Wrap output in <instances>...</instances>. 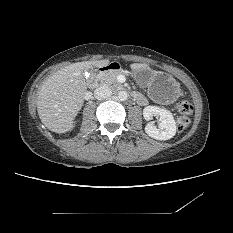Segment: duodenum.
Masks as SVG:
<instances>
[{
	"instance_id": "410a0bca",
	"label": "duodenum",
	"mask_w": 233,
	"mask_h": 233,
	"mask_svg": "<svg viewBox=\"0 0 233 233\" xmlns=\"http://www.w3.org/2000/svg\"><path fill=\"white\" fill-rule=\"evenodd\" d=\"M119 70H120V65L119 64H117V63H105V64H103L100 67H97L95 69L94 76L89 79L88 85L91 88H96L100 75L106 74V73H108L110 71L118 72ZM133 97L135 99H137L138 98L137 93H134Z\"/></svg>"
}]
</instances>
